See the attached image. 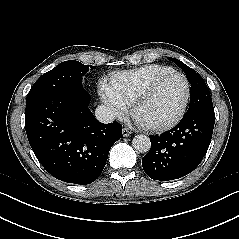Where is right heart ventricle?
I'll return each mask as SVG.
<instances>
[{
  "label": "right heart ventricle",
  "instance_id": "right-heart-ventricle-1",
  "mask_svg": "<svg viewBox=\"0 0 239 239\" xmlns=\"http://www.w3.org/2000/svg\"><path fill=\"white\" fill-rule=\"evenodd\" d=\"M171 68L159 64H148L142 67L114 73L110 77V84L118 96L130 105L137 94L145 88L155 77Z\"/></svg>",
  "mask_w": 239,
  "mask_h": 239
}]
</instances>
